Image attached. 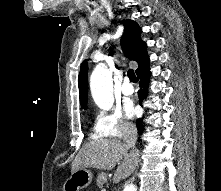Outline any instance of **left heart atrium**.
<instances>
[{
    "label": "left heart atrium",
    "instance_id": "39dd6f15",
    "mask_svg": "<svg viewBox=\"0 0 221 191\" xmlns=\"http://www.w3.org/2000/svg\"><path fill=\"white\" fill-rule=\"evenodd\" d=\"M125 112L129 117H132L135 114V108L131 102L125 104Z\"/></svg>",
    "mask_w": 221,
    "mask_h": 191
}]
</instances>
